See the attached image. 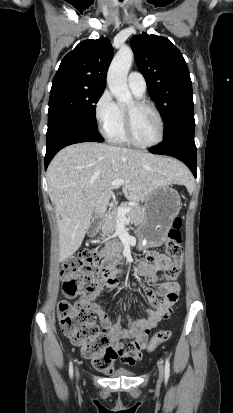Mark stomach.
I'll return each instance as SVG.
<instances>
[{
    "instance_id": "1",
    "label": "stomach",
    "mask_w": 233,
    "mask_h": 413,
    "mask_svg": "<svg viewBox=\"0 0 233 413\" xmlns=\"http://www.w3.org/2000/svg\"><path fill=\"white\" fill-rule=\"evenodd\" d=\"M181 200L178 192L161 186L144 200V218L137 230L138 237L148 246H161L179 214Z\"/></svg>"
}]
</instances>
